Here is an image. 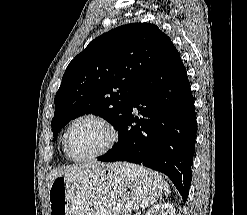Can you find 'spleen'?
I'll use <instances>...</instances> for the list:
<instances>
[{
	"label": "spleen",
	"instance_id": "1",
	"mask_svg": "<svg viewBox=\"0 0 247 215\" xmlns=\"http://www.w3.org/2000/svg\"><path fill=\"white\" fill-rule=\"evenodd\" d=\"M164 192L166 195L169 193V186L166 182H164Z\"/></svg>",
	"mask_w": 247,
	"mask_h": 215
}]
</instances>
